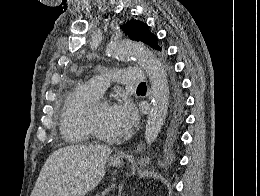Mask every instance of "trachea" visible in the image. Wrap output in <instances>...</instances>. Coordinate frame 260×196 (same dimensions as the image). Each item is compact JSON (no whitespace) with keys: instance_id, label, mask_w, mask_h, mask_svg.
<instances>
[{"instance_id":"1","label":"trachea","mask_w":260,"mask_h":196,"mask_svg":"<svg viewBox=\"0 0 260 196\" xmlns=\"http://www.w3.org/2000/svg\"><path fill=\"white\" fill-rule=\"evenodd\" d=\"M146 88V83L144 81L138 85V89Z\"/></svg>"}]
</instances>
